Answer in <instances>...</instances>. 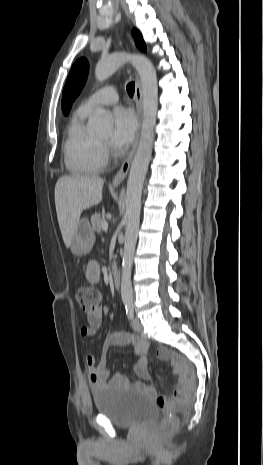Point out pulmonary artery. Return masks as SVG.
<instances>
[{
	"label": "pulmonary artery",
	"mask_w": 263,
	"mask_h": 465,
	"mask_svg": "<svg viewBox=\"0 0 263 465\" xmlns=\"http://www.w3.org/2000/svg\"><path fill=\"white\" fill-rule=\"evenodd\" d=\"M118 101L117 89L113 86L103 87L91 94L79 107L85 113H91L97 106L112 105Z\"/></svg>",
	"instance_id": "pulmonary-artery-1"
}]
</instances>
